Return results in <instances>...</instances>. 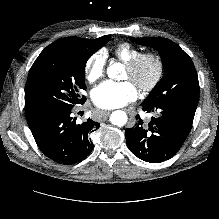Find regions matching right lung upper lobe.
Here are the masks:
<instances>
[{"instance_id": "cb5924a9", "label": "right lung upper lobe", "mask_w": 219, "mask_h": 219, "mask_svg": "<svg viewBox=\"0 0 219 219\" xmlns=\"http://www.w3.org/2000/svg\"><path fill=\"white\" fill-rule=\"evenodd\" d=\"M107 36L108 35L100 37L98 39H82V38H76V37H70V38L75 39V40H80V41L84 42L87 45L97 47L100 43H103V42L106 41Z\"/></svg>"}]
</instances>
